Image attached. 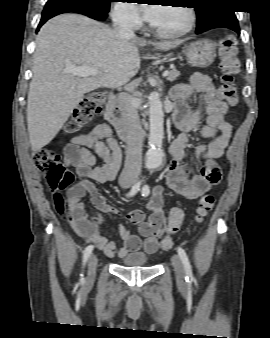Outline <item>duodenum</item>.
I'll return each mask as SVG.
<instances>
[{
	"mask_svg": "<svg viewBox=\"0 0 270 338\" xmlns=\"http://www.w3.org/2000/svg\"><path fill=\"white\" fill-rule=\"evenodd\" d=\"M121 109L118 104V97L114 94L110 95L109 101L105 105L103 116L104 119L113 126L120 137L123 136L122 124L120 119Z\"/></svg>",
	"mask_w": 270,
	"mask_h": 338,
	"instance_id": "410a0bca",
	"label": "duodenum"
}]
</instances>
